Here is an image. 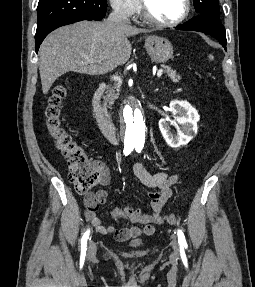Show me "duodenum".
<instances>
[{
    "label": "duodenum",
    "instance_id": "1",
    "mask_svg": "<svg viewBox=\"0 0 255 287\" xmlns=\"http://www.w3.org/2000/svg\"><path fill=\"white\" fill-rule=\"evenodd\" d=\"M105 90V85L101 84L93 93L90 100V114L98 125V127L103 131V133L112 141L115 140V126L113 122L101 111L99 103L100 99Z\"/></svg>",
    "mask_w": 255,
    "mask_h": 287
}]
</instances>
